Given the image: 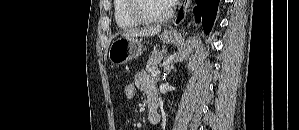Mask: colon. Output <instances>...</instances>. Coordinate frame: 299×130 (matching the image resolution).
Masks as SVG:
<instances>
[{
    "instance_id": "colon-1",
    "label": "colon",
    "mask_w": 299,
    "mask_h": 130,
    "mask_svg": "<svg viewBox=\"0 0 299 130\" xmlns=\"http://www.w3.org/2000/svg\"><path fill=\"white\" fill-rule=\"evenodd\" d=\"M137 85L134 81H128L125 85H124V96L126 100H132L137 92Z\"/></svg>"
}]
</instances>
